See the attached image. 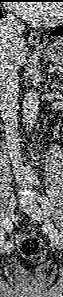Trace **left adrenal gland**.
<instances>
[{
	"mask_svg": "<svg viewBox=\"0 0 63 297\" xmlns=\"http://www.w3.org/2000/svg\"><path fill=\"white\" fill-rule=\"evenodd\" d=\"M52 79H51V77L49 76V81H51ZM52 87L54 88V90L55 89H61L62 88V86L60 85V84H57V82L56 81H53L52 82Z\"/></svg>",
	"mask_w": 63,
	"mask_h": 297,
	"instance_id": "1",
	"label": "left adrenal gland"
}]
</instances>
